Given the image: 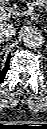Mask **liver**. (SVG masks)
Masks as SVG:
<instances>
[{"label": "liver", "mask_w": 47, "mask_h": 129, "mask_svg": "<svg viewBox=\"0 0 47 129\" xmlns=\"http://www.w3.org/2000/svg\"><path fill=\"white\" fill-rule=\"evenodd\" d=\"M6 14V13H5ZM8 19V16L3 17L2 15L0 16V25L3 23L4 20Z\"/></svg>", "instance_id": "obj_1"}]
</instances>
